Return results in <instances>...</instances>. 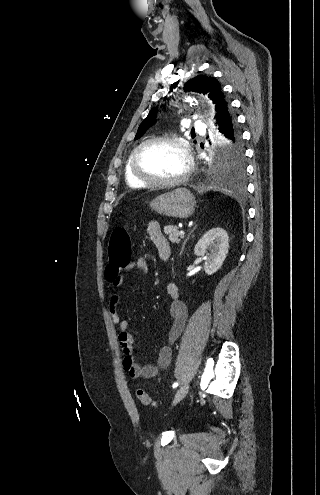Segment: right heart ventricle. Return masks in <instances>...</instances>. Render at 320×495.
Here are the masks:
<instances>
[{
    "instance_id": "1",
    "label": "right heart ventricle",
    "mask_w": 320,
    "mask_h": 495,
    "mask_svg": "<svg viewBox=\"0 0 320 495\" xmlns=\"http://www.w3.org/2000/svg\"><path fill=\"white\" fill-rule=\"evenodd\" d=\"M130 158H131V155H129L126 163H125V166H124V177H125V180H126V183L132 187V188H143V187H146L147 184L137 180L132 172H131V169H130Z\"/></svg>"
}]
</instances>
